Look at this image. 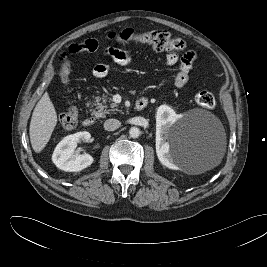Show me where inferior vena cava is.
Here are the masks:
<instances>
[{
    "label": "inferior vena cava",
    "instance_id": "obj_1",
    "mask_svg": "<svg viewBox=\"0 0 267 267\" xmlns=\"http://www.w3.org/2000/svg\"><path fill=\"white\" fill-rule=\"evenodd\" d=\"M121 126V122L117 119H108L104 122V128L107 131H114Z\"/></svg>",
    "mask_w": 267,
    "mask_h": 267
}]
</instances>
